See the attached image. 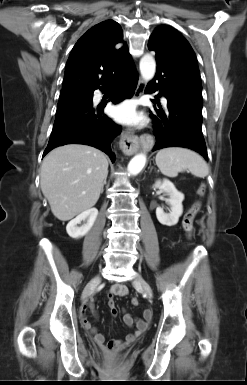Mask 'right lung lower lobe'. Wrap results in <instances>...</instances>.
Here are the masks:
<instances>
[{"label":"right lung lower lobe","mask_w":247,"mask_h":385,"mask_svg":"<svg viewBox=\"0 0 247 385\" xmlns=\"http://www.w3.org/2000/svg\"><path fill=\"white\" fill-rule=\"evenodd\" d=\"M138 82L134 64L128 66L112 83L116 90L111 97L113 103L131 98ZM107 87H102L106 89ZM105 105L93 106L92 100L77 103L56 113L54 127L45 156L53 148L65 144L77 143L96 147L108 154L114 162L115 154L111 150V141L121 132V127L114 124L103 114Z\"/></svg>","instance_id":"right-lung-lower-lobe-1"}]
</instances>
